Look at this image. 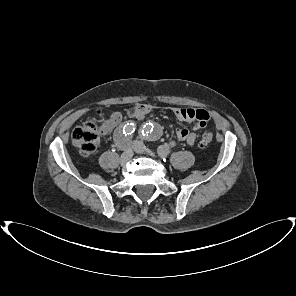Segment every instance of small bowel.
I'll return each mask as SVG.
<instances>
[{
  "label": "small bowel",
  "instance_id": "small-bowel-1",
  "mask_svg": "<svg viewBox=\"0 0 296 296\" xmlns=\"http://www.w3.org/2000/svg\"><path fill=\"white\" fill-rule=\"evenodd\" d=\"M151 111V105L138 104L133 110L129 112V116L134 119H142ZM174 115L182 121L194 122L192 130L179 127L175 130L177 140L184 141L188 145H194L197 132L207 126L209 121V113L203 109L192 108H174ZM122 121V114L118 111L111 113L109 118L104 122L105 133H110ZM176 146V141H168L162 144L159 148L161 155L169 154Z\"/></svg>",
  "mask_w": 296,
  "mask_h": 296
}]
</instances>
